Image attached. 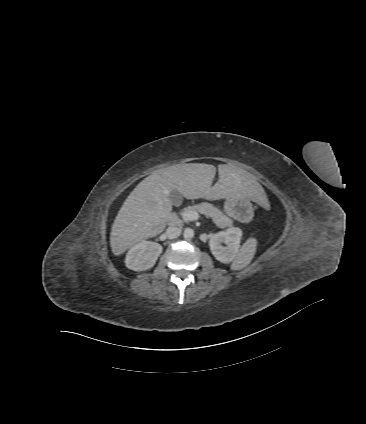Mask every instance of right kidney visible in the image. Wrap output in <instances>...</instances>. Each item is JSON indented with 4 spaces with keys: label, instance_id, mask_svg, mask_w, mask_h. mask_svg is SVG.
I'll use <instances>...</instances> for the list:
<instances>
[{
    "label": "right kidney",
    "instance_id": "ca27d5eb",
    "mask_svg": "<svg viewBox=\"0 0 366 424\" xmlns=\"http://www.w3.org/2000/svg\"><path fill=\"white\" fill-rule=\"evenodd\" d=\"M162 246L152 241H141L128 251L125 264L134 271L148 270L154 266L162 253Z\"/></svg>",
    "mask_w": 366,
    "mask_h": 424
}]
</instances>
